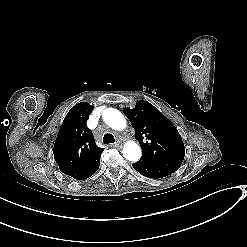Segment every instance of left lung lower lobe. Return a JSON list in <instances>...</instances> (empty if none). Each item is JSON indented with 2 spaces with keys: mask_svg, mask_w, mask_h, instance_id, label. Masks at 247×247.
<instances>
[{
  "mask_svg": "<svg viewBox=\"0 0 247 247\" xmlns=\"http://www.w3.org/2000/svg\"><path fill=\"white\" fill-rule=\"evenodd\" d=\"M132 166L140 174L149 178H162L176 171L149 160H139L138 162L132 164Z\"/></svg>",
  "mask_w": 247,
  "mask_h": 247,
  "instance_id": "obj_1",
  "label": "left lung lower lobe"
}]
</instances>
